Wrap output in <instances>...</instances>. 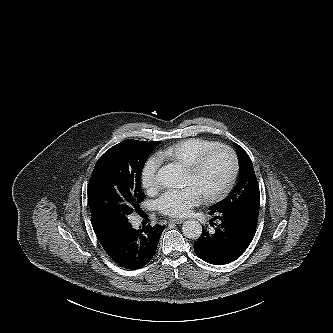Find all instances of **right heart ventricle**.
<instances>
[{"mask_svg": "<svg viewBox=\"0 0 333 333\" xmlns=\"http://www.w3.org/2000/svg\"><path fill=\"white\" fill-rule=\"evenodd\" d=\"M218 143V141L207 138H187L163 149L159 155L185 167L201 152Z\"/></svg>", "mask_w": 333, "mask_h": 333, "instance_id": "obj_1", "label": "right heart ventricle"}]
</instances>
